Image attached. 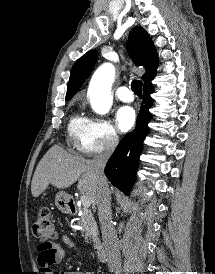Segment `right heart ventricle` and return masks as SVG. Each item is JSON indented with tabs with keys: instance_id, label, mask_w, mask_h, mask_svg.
Wrapping results in <instances>:
<instances>
[{
	"instance_id": "right-heart-ventricle-1",
	"label": "right heart ventricle",
	"mask_w": 215,
	"mask_h": 274,
	"mask_svg": "<svg viewBox=\"0 0 215 274\" xmlns=\"http://www.w3.org/2000/svg\"><path fill=\"white\" fill-rule=\"evenodd\" d=\"M88 119L76 113L74 114L68 124V134L71 140L76 144L81 140L87 128Z\"/></svg>"
}]
</instances>
